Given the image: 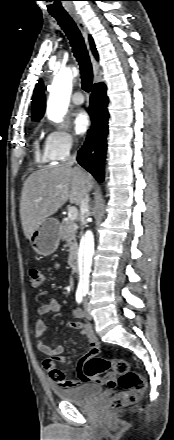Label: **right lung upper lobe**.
I'll list each match as a JSON object with an SVG mask.
<instances>
[{
  "instance_id": "cb5924a9",
  "label": "right lung upper lobe",
  "mask_w": 174,
  "mask_h": 440,
  "mask_svg": "<svg viewBox=\"0 0 174 440\" xmlns=\"http://www.w3.org/2000/svg\"><path fill=\"white\" fill-rule=\"evenodd\" d=\"M89 40H90V46L92 52L94 56L97 58L98 55L95 49L93 39L89 37ZM44 111H45V95H44L43 82L42 80H40L35 87L32 97V120L33 121L40 120L44 114Z\"/></svg>"
}]
</instances>
